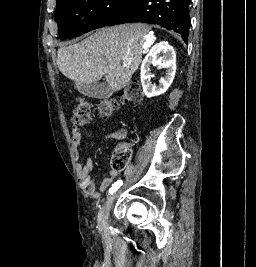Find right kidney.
<instances>
[{
  "label": "right kidney",
  "instance_id": "obj_1",
  "mask_svg": "<svg viewBox=\"0 0 256 267\" xmlns=\"http://www.w3.org/2000/svg\"><path fill=\"white\" fill-rule=\"evenodd\" d=\"M159 66V68H167L166 76L160 78L159 86H155L151 82V70L150 66ZM176 74V54L173 46H169L168 42H159L151 48L149 54L145 56L141 68V84L147 98H153V96H161L165 94L168 88H170L174 76Z\"/></svg>",
  "mask_w": 256,
  "mask_h": 267
}]
</instances>
